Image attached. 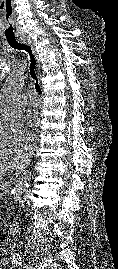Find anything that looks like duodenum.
Listing matches in <instances>:
<instances>
[{
    "mask_svg": "<svg viewBox=\"0 0 118 269\" xmlns=\"http://www.w3.org/2000/svg\"><path fill=\"white\" fill-rule=\"evenodd\" d=\"M20 228V223L17 221H11L6 224V233L8 235H13L18 232Z\"/></svg>",
    "mask_w": 118,
    "mask_h": 269,
    "instance_id": "duodenum-1",
    "label": "duodenum"
}]
</instances>
